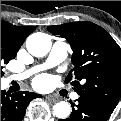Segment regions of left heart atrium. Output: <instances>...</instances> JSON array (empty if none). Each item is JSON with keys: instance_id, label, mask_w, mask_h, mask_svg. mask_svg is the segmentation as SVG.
<instances>
[{"instance_id": "39dd6f15", "label": "left heart atrium", "mask_w": 121, "mask_h": 121, "mask_svg": "<svg viewBox=\"0 0 121 121\" xmlns=\"http://www.w3.org/2000/svg\"><path fill=\"white\" fill-rule=\"evenodd\" d=\"M50 79L47 76L38 77L34 84L38 89H45L49 86Z\"/></svg>"}]
</instances>
